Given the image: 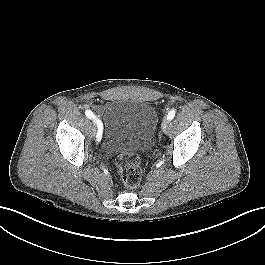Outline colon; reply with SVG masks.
Listing matches in <instances>:
<instances>
[{
    "instance_id": "5ec220e1",
    "label": "colon",
    "mask_w": 265,
    "mask_h": 265,
    "mask_svg": "<svg viewBox=\"0 0 265 265\" xmlns=\"http://www.w3.org/2000/svg\"><path fill=\"white\" fill-rule=\"evenodd\" d=\"M115 164L120 172L124 185L130 189L138 188L143 176L139 155L130 154L118 156Z\"/></svg>"
}]
</instances>
